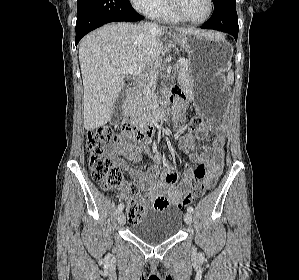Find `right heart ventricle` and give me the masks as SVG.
Segmentation results:
<instances>
[{"instance_id":"right-heart-ventricle-1","label":"right heart ventricle","mask_w":299,"mask_h":280,"mask_svg":"<svg viewBox=\"0 0 299 280\" xmlns=\"http://www.w3.org/2000/svg\"><path fill=\"white\" fill-rule=\"evenodd\" d=\"M151 17L170 23H178L181 20L171 11L168 0H159L157 6L150 14Z\"/></svg>"}]
</instances>
